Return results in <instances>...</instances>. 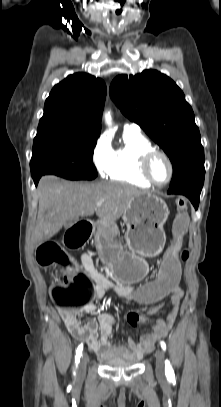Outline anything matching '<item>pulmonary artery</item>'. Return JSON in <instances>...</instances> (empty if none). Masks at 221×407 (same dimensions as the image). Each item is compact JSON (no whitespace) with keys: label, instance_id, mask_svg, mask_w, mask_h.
<instances>
[{"label":"pulmonary artery","instance_id":"obj_1","mask_svg":"<svg viewBox=\"0 0 221 407\" xmlns=\"http://www.w3.org/2000/svg\"><path fill=\"white\" fill-rule=\"evenodd\" d=\"M124 131H137L140 132V128L138 125L134 124V123H126L124 125Z\"/></svg>","mask_w":221,"mask_h":407}]
</instances>
